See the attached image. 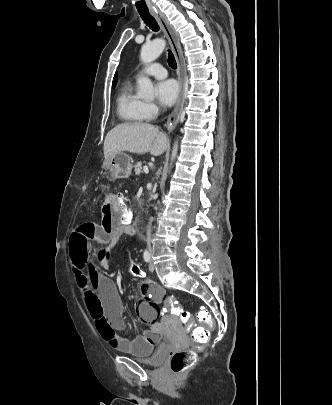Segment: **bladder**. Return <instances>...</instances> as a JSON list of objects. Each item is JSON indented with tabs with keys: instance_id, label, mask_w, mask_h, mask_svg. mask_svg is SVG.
<instances>
[{
	"instance_id": "1",
	"label": "bladder",
	"mask_w": 332,
	"mask_h": 405,
	"mask_svg": "<svg viewBox=\"0 0 332 405\" xmlns=\"http://www.w3.org/2000/svg\"><path fill=\"white\" fill-rule=\"evenodd\" d=\"M124 353L132 356L133 358L151 364L160 365L164 362L167 354V346L164 342L154 343L147 347L146 352H140L137 350H128Z\"/></svg>"
}]
</instances>
